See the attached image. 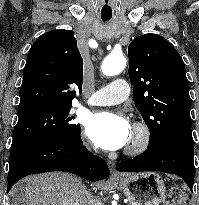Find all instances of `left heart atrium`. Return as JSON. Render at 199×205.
Wrapping results in <instances>:
<instances>
[{
	"label": "left heart atrium",
	"mask_w": 199,
	"mask_h": 205,
	"mask_svg": "<svg viewBox=\"0 0 199 205\" xmlns=\"http://www.w3.org/2000/svg\"><path fill=\"white\" fill-rule=\"evenodd\" d=\"M86 135L102 149L117 150L130 141L132 127L124 116L102 112L89 118Z\"/></svg>",
	"instance_id": "obj_1"
}]
</instances>
